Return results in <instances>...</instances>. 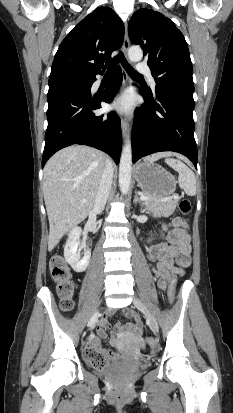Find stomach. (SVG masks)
I'll list each match as a JSON object with an SVG mask.
<instances>
[{
	"instance_id": "stomach-1",
	"label": "stomach",
	"mask_w": 233,
	"mask_h": 413,
	"mask_svg": "<svg viewBox=\"0 0 233 413\" xmlns=\"http://www.w3.org/2000/svg\"><path fill=\"white\" fill-rule=\"evenodd\" d=\"M135 179L141 190L148 196L163 198L176 189V180L162 166L144 161L135 167Z\"/></svg>"
}]
</instances>
